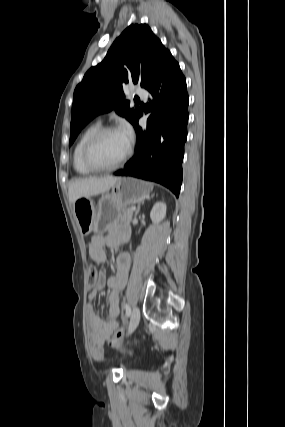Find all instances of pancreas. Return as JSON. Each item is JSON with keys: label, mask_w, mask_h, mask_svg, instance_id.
Returning <instances> with one entry per match:
<instances>
[{"label": "pancreas", "mask_w": 285, "mask_h": 427, "mask_svg": "<svg viewBox=\"0 0 285 427\" xmlns=\"http://www.w3.org/2000/svg\"><path fill=\"white\" fill-rule=\"evenodd\" d=\"M133 211L129 207H125L121 210L119 218L121 222L129 223L132 219Z\"/></svg>", "instance_id": "pancreas-1"}]
</instances>
